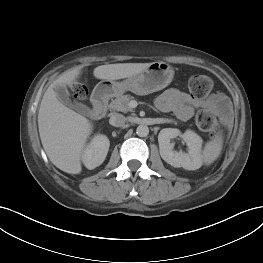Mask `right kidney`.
Instances as JSON below:
<instances>
[{
	"mask_svg": "<svg viewBox=\"0 0 263 263\" xmlns=\"http://www.w3.org/2000/svg\"><path fill=\"white\" fill-rule=\"evenodd\" d=\"M110 143L105 135H96L84 149L81 156L83 164L88 169L100 166L108 153Z\"/></svg>",
	"mask_w": 263,
	"mask_h": 263,
	"instance_id": "ca27d5eb",
	"label": "right kidney"
}]
</instances>
